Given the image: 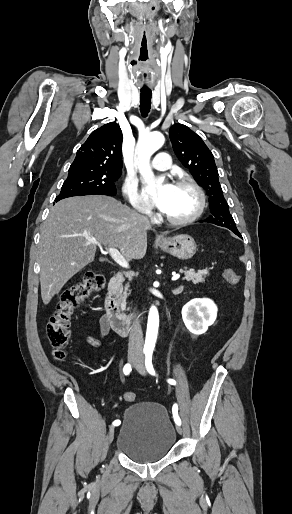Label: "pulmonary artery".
Masks as SVG:
<instances>
[{
  "label": "pulmonary artery",
  "instance_id": "obj_1",
  "mask_svg": "<svg viewBox=\"0 0 292 514\" xmlns=\"http://www.w3.org/2000/svg\"><path fill=\"white\" fill-rule=\"evenodd\" d=\"M171 152L158 150L154 153L152 169L154 172H170L172 170Z\"/></svg>",
  "mask_w": 292,
  "mask_h": 514
}]
</instances>
